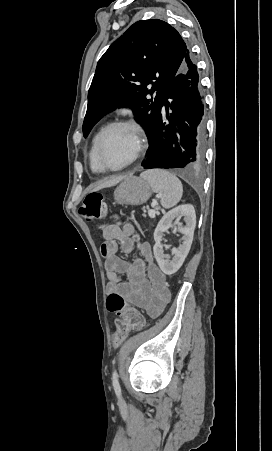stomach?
<instances>
[{
	"mask_svg": "<svg viewBox=\"0 0 272 451\" xmlns=\"http://www.w3.org/2000/svg\"><path fill=\"white\" fill-rule=\"evenodd\" d=\"M152 194L150 184L137 178V176H126L122 184L114 192V200L117 204H127V206H140L149 200Z\"/></svg>",
	"mask_w": 272,
	"mask_h": 451,
	"instance_id": "obj_1",
	"label": "stomach"
}]
</instances>
